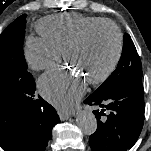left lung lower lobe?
Masks as SVG:
<instances>
[{
	"instance_id": "obj_1",
	"label": "left lung lower lobe",
	"mask_w": 151,
	"mask_h": 151,
	"mask_svg": "<svg viewBox=\"0 0 151 151\" xmlns=\"http://www.w3.org/2000/svg\"><path fill=\"white\" fill-rule=\"evenodd\" d=\"M143 93L142 78H132L109 94H91L85 99V104L102 108L93 111L98 122L89 137L93 151H126L136 143L144 123ZM106 110L109 114L101 120Z\"/></svg>"
}]
</instances>
